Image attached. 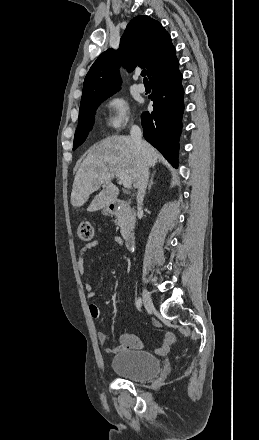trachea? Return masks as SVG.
I'll return each mask as SVG.
<instances>
[{"label": "trachea", "instance_id": "1", "mask_svg": "<svg viewBox=\"0 0 259 440\" xmlns=\"http://www.w3.org/2000/svg\"><path fill=\"white\" fill-rule=\"evenodd\" d=\"M141 76L144 77V81H148V80H147V77H146V70H143V71L141 72Z\"/></svg>", "mask_w": 259, "mask_h": 440}]
</instances>
